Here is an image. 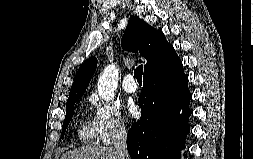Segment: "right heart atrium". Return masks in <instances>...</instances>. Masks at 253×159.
<instances>
[{
	"instance_id": "1",
	"label": "right heart atrium",
	"mask_w": 253,
	"mask_h": 159,
	"mask_svg": "<svg viewBox=\"0 0 253 159\" xmlns=\"http://www.w3.org/2000/svg\"><path fill=\"white\" fill-rule=\"evenodd\" d=\"M90 103L94 111L92 123L101 144H109L126 132V122L114 103L103 101L96 95L90 97Z\"/></svg>"
}]
</instances>
